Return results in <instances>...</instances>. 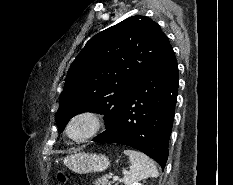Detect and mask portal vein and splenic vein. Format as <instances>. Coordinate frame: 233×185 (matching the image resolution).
Segmentation results:
<instances>
[{
    "label": "portal vein and splenic vein",
    "instance_id": "portal-vein-and-splenic-vein-1",
    "mask_svg": "<svg viewBox=\"0 0 233 185\" xmlns=\"http://www.w3.org/2000/svg\"><path fill=\"white\" fill-rule=\"evenodd\" d=\"M119 179L118 176H113V181H117Z\"/></svg>",
    "mask_w": 233,
    "mask_h": 185
}]
</instances>
